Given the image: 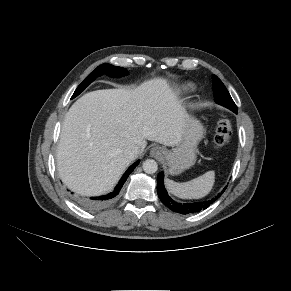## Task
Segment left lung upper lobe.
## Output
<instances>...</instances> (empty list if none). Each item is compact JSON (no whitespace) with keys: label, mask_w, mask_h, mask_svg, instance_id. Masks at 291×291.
I'll list each match as a JSON object with an SVG mask.
<instances>
[{"label":"left lung upper lobe","mask_w":291,"mask_h":291,"mask_svg":"<svg viewBox=\"0 0 291 291\" xmlns=\"http://www.w3.org/2000/svg\"><path fill=\"white\" fill-rule=\"evenodd\" d=\"M213 79V92H214V99L218 104H221L232 111L236 112L237 107L231 98L229 92L227 91L224 84L221 82V80L216 76H212Z\"/></svg>","instance_id":"obj_1"}]
</instances>
